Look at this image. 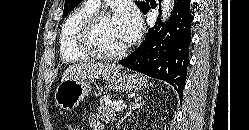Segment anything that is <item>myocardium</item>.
Returning <instances> with one entry per match:
<instances>
[{
    "label": "myocardium",
    "mask_w": 249,
    "mask_h": 130,
    "mask_svg": "<svg viewBox=\"0 0 249 130\" xmlns=\"http://www.w3.org/2000/svg\"><path fill=\"white\" fill-rule=\"evenodd\" d=\"M114 16L110 10H100L93 12L81 24L78 32V44L82 51L90 57L104 60L115 61L124 58L131 45L128 43L123 49L115 53L103 51L96 43L95 32L99 24L106 18Z\"/></svg>",
    "instance_id": "f54148a6"
}]
</instances>
